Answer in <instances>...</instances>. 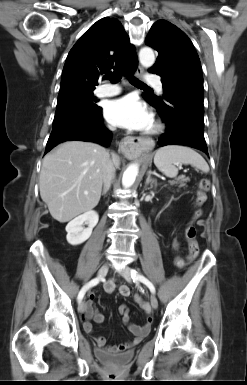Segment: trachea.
Segmentation results:
<instances>
[{
  "label": "trachea",
  "instance_id": "1",
  "mask_svg": "<svg viewBox=\"0 0 247 385\" xmlns=\"http://www.w3.org/2000/svg\"><path fill=\"white\" fill-rule=\"evenodd\" d=\"M105 78L109 79L113 83H118L121 80V74L120 73H114V74L105 76ZM128 80L132 85H134L136 87H148L146 84H144L143 82H141L139 79H137L134 76H131V75L128 76Z\"/></svg>",
  "mask_w": 247,
  "mask_h": 385
}]
</instances>
